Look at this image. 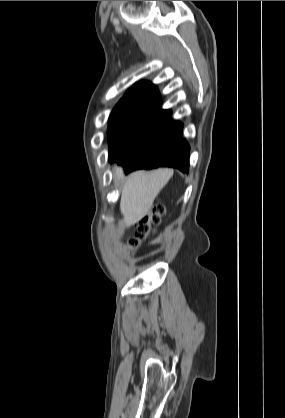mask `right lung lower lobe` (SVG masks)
I'll use <instances>...</instances> for the list:
<instances>
[{"instance_id":"obj_1","label":"right lung lower lobe","mask_w":285,"mask_h":418,"mask_svg":"<svg viewBox=\"0 0 285 418\" xmlns=\"http://www.w3.org/2000/svg\"><path fill=\"white\" fill-rule=\"evenodd\" d=\"M183 124L169 118L163 125L148 135L125 154L109 158L117 161L125 173L136 169L173 167L180 171H189V151L187 141L180 138Z\"/></svg>"}]
</instances>
